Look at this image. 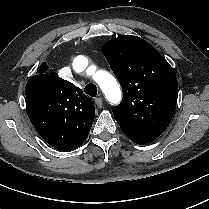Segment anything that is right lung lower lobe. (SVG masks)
<instances>
[{"label": "right lung lower lobe", "instance_id": "obj_1", "mask_svg": "<svg viewBox=\"0 0 209 209\" xmlns=\"http://www.w3.org/2000/svg\"><path fill=\"white\" fill-rule=\"evenodd\" d=\"M43 138V137H42ZM46 142L48 141L47 139H52L51 141L47 142L49 145L53 146L57 150L63 151V149L68 148V144L64 142H56L52 136L44 137L43 138ZM67 152V151H65Z\"/></svg>", "mask_w": 209, "mask_h": 209}]
</instances>
